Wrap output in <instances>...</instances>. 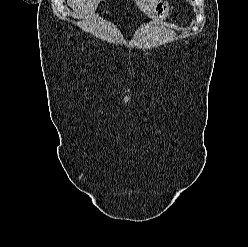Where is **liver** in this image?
<instances>
[{"instance_id": "6515ba94", "label": "liver", "mask_w": 248, "mask_h": 247, "mask_svg": "<svg viewBox=\"0 0 248 247\" xmlns=\"http://www.w3.org/2000/svg\"><path fill=\"white\" fill-rule=\"evenodd\" d=\"M102 0H68V5L72 8L71 15L74 18H84L92 16ZM159 0H135L136 5L146 15L150 16L151 11Z\"/></svg>"}]
</instances>
